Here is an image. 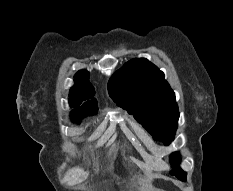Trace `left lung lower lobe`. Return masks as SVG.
I'll return each mask as SVG.
<instances>
[{"mask_svg": "<svg viewBox=\"0 0 233 191\" xmlns=\"http://www.w3.org/2000/svg\"><path fill=\"white\" fill-rule=\"evenodd\" d=\"M178 179H180V180H182V181H185V180H186V177H180V178H178Z\"/></svg>", "mask_w": 233, "mask_h": 191, "instance_id": "1", "label": "left lung lower lobe"}]
</instances>
